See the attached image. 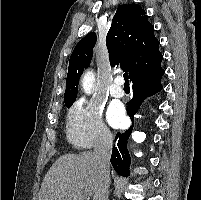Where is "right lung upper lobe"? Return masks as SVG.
<instances>
[{"instance_id":"obj_1","label":"right lung upper lobe","mask_w":201,"mask_h":200,"mask_svg":"<svg viewBox=\"0 0 201 200\" xmlns=\"http://www.w3.org/2000/svg\"><path fill=\"white\" fill-rule=\"evenodd\" d=\"M96 40V33H89L74 48L69 60L64 101L76 99L80 76L92 59ZM106 46L111 65L120 64L129 72L130 80L159 66L163 58L154 27L137 4L122 5L117 9L106 36Z\"/></svg>"}]
</instances>
